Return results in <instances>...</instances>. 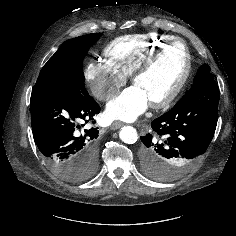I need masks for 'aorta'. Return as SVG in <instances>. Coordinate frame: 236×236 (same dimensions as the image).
I'll return each mask as SVG.
<instances>
[{
    "mask_svg": "<svg viewBox=\"0 0 236 236\" xmlns=\"http://www.w3.org/2000/svg\"><path fill=\"white\" fill-rule=\"evenodd\" d=\"M120 139L126 144H134L138 139V133L132 126H124L119 132Z\"/></svg>",
    "mask_w": 236,
    "mask_h": 236,
    "instance_id": "1",
    "label": "aorta"
}]
</instances>
